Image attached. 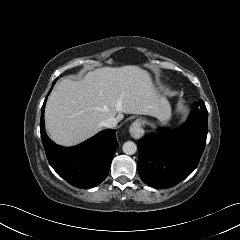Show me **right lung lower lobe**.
Instances as JSON below:
<instances>
[{
	"mask_svg": "<svg viewBox=\"0 0 240 240\" xmlns=\"http://www.w3.org/2000/svg\"><path fill=\"white\" fill-rule=\"evenodd\" d=\"M45 102L46 99L41 111L40 131L52 168L69 184L77 188H90L100 184L109 172L112 158L119 145L116 141V130H103L74 147H60L46 135Z\"/></svg>",
	"mask_w": 240,
	"mask_h": 240,
	"instance_id": "right-lung-lower-lobe-1",
	"label": "right lung lower lobe"
}]
</instances>
